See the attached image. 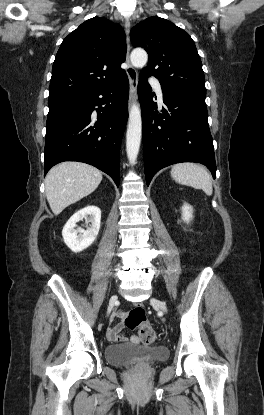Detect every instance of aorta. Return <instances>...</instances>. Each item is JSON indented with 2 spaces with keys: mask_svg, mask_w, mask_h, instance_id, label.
<instances>
[{
  "mask_svg": "<svg viewBox=\"0 0 264 415\" xmlns=\"http://www.w3.org/2000/svg\"><path fill=\"white\" fill-rule=\"evenodd\" d=\"M131 63L134 67L141 68L148 61L147 52L137 48L131 52ZM142 133L141 111L139 106L134 103L129 112L128 128L126 133V152L128 160L131 164H135L137 159Z\"/></svg>",
  "mask_w": 264,
  "mask_h": 415,
  "instance_id": "1",
  "label": "aorta"
}]
</instances>
